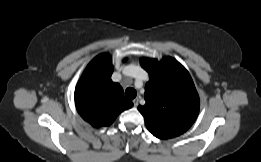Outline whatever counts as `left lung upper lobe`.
Listing matches in <instances>:
<instances>
[{
    "mask_svg": "<svg viewBox=\"0 0 261 162\" xmlns=\"http://www.w3.org/2000/svg\"><path fill=\"white\" fill-rule=\"evenodd\" d=\"M149 73L145 86L144 116L147 129L157 138L168 139L186 132L195 122L200 100L189 72L174 58L161 61L141 58Z\"/></svg>",
    "mask_w": 261,
    "mask_h": 162,
    "instance_id": "5c2ea615",
    "label": "left lung upper lobe"
}]
</instances>
